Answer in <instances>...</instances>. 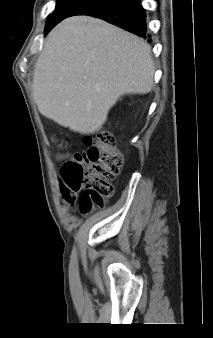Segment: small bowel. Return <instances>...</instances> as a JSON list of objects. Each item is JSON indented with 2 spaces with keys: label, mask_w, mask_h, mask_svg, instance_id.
Masks as SVG:
<instances>
[{
  "label": "small bowel",
  "mask_w": 213,
  "mask_h": 338,
  "mask_svg": "<svg viewBox=\"0 0 213 338\" xmlns=\"http://www.w3.org/2000/svg\"><path fill=\"white\" fill-rule=\"evenodd\" d=\"M62 197H63L64 202L66 203L73 199V196L68 191H63ZM80 200H81V196L77 198L79 206H80Z\"/></svg>",
  "instance_id": "c3829d8e"
}]
</instances>
